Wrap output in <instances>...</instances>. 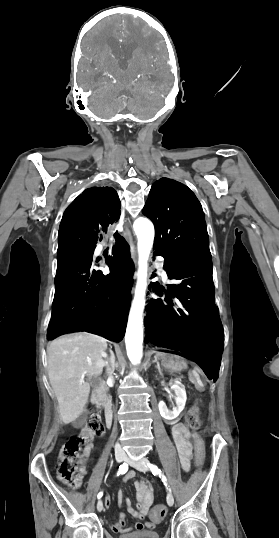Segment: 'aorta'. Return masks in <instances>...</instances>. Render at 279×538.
<instances>
[{"label": "aorta", "instance_id": "1", "mask_svg": "<svg viewBox=\"0 0 279 538\" xmlns=\"http://www.w3.org/2000/svg\"><path fill=\"white\" fill-rule=\"evenodd\" d=\"M137 236L138 272L135 295L130 308L125 343L132 364L140 363L143 351V311L147 289L148 259L154 242V226L146 218H138L133 224Z\"/></svg>", "mask_w": 279, "mask_h": 538}]
</instances>
